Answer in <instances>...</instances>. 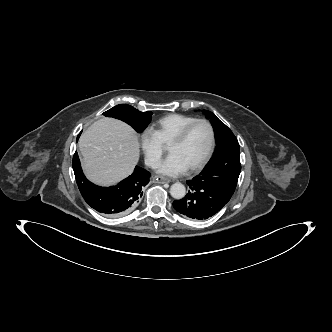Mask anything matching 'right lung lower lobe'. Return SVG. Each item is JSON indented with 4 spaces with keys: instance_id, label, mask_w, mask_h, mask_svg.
<instances>
[{
    "instance_id": "obj_1",
    "label": "right lung lower lobe",
    "mask_w": 332,
    "mask_h": 332,
    "mask_svg": "<svg viewBox=\"0 0 332 332\" xmlns=\"http://www.w3.org/2000/svg\"><path fill=\"white\" fill-rule=\"evenodd\" d=\"M72 165L78 188L84 200L90 207L111 218L126 215L137 207L143 195L142 188L148 184L150 177L148 171L136 166L128 178L116 186L106 188L94 185L86 179L77 152L73 156Z\"/></svg>"
}]
</instances>
